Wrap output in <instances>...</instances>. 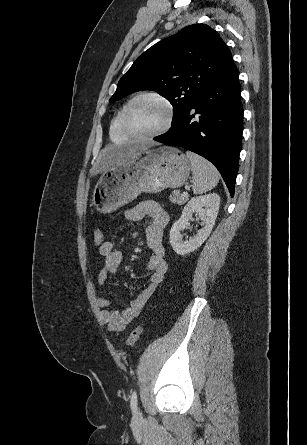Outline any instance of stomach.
I'll list each match as a JSON object with an SVG mask.
<instances>
[{
	"instance_id": "obj_1",
	"label": "stomach",
	"mask_w": 307,
	"mask_h": 445,
	"mask_svg": "<svg viewBox=\"0 0 307 445\" xmlns=\"http://www.w3.org/2000/svg\"><path fill=\"white\" fill-rule=\"evenodd\" d=\"M190 170L189 158L174 146L142 148L131 160L104 170L93 190L92 204L98 212H113L141 192L183 186Z\"/></svg>"
}]
</instances>
